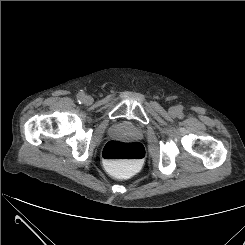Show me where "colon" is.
<instances>
[{
    "label": "colon",
    "mask_w": 245,
    "mask_h": 245,
    "mask_svg": "<svg viewBox=\"0 0 245 245\" xmlns=\"http://www.w3.org/2000/svg\"><path fill=\"white\" fill-rule=\"evenodd\" d=\"M102 157L108 169L122 175L141 165L145 151L138 142L109 141L103 148Z\"/></svg>",
    "instance_id": "5ec220e1"
}]
</instances>
